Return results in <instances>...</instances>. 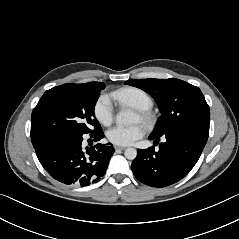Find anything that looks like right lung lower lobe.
I'll use <instances>...</instances> for the list:
<instances>
[{
	"label": "right lung lower lobe",
	"instance_id": "obj_1",
	"mask_svg": "<svg viewBox=\"0 0 239 239\" xmlns=\"http://www.w3.org/2000/svg\"><path fill=\"white\" fill-rule=\"evenodd\" d=\"M89 135L94 141L104 137L102 129ZM84 137V134L74 132L54 133L35 147L40 163L54 179L83 187L104 176L114 148L110 143L84 148Z\"/></svg>",
	"mask_w": 239,
	"mask_h": 239
}]
</instances>
